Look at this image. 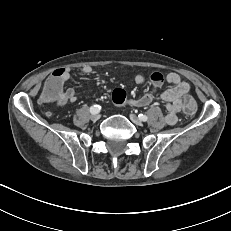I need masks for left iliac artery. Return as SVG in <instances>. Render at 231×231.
Segmentation results:
<instances>
[{
	"mask_svg": "<svg viewBox=\"0 0 231 231\" xmlns=\"http://www.w3.org/2000/svg\"><path fill=\"white\" fill-rule=\"evenodd\" d=\"M139 118L144 122L148 120V117L146 115H143V114H139Z\"/></svg>",
	"mask_w": 231,
	"mask_h": 231,
	"instance_id": "obj_1",
	"label": "left iliac artery"
}]
</instances>
